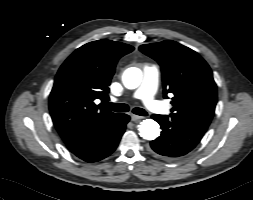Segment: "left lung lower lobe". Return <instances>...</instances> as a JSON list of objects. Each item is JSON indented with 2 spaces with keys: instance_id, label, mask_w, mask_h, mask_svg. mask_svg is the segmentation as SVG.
Wrapping results in <instances>:
<instances>
[{
  "instance_id": "1",
  "label": "left lung lower lobe",
  "mask_w": 253,
  "mask_h": 200,
  "mask_svg": "<svg viewBox=\"0 0 253 200\" xmlns=\"http://www.w3.org/2000/svg\"><path fill=\"white\" fill-rule=\"evenodd\" d=\"M161 126L160 136L151 141V151L163 158H176L190 152L201 140L208 126L184 116L153 115Z\"/></svg>"
}]
</instances>
